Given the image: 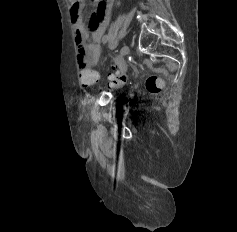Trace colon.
<instances>
[{
	"instance_id": "obj_1",
	"label": "colon",
	"mask_w": 237,
	"mask_h": 232,
	"mask_svg": "<svg viewBox=\"0 0 237 232\" xmlns=\"http://www.w3.org/2000/svg\"><path fill=\"white\" fill-rule=\"evenodd\" d=\"M79 78L80 83L86 87L95 84L99 79V75L96 71H93L87 67H83L80 71ZM125 81H126L125 68L123 66L114 67L113 73L110 74L109 76V85L111 86L120 85ZM145 84L146 89L153 94L160 92L163 88V81L155 75L149 76L146 79Z\"/></svg>"
}]
</instances>
